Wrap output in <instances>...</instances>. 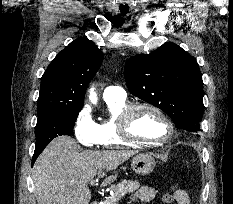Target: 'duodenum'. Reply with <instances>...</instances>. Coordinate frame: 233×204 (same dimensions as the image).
I'll list each match as a JSON object with an SVG mask.
<instances>
[{
  "mask_svg": "<svg viewBox=\"0 0 233 204\" xmlns=\"http://www.w3.org/2000/svg\"><path fill=\"white\" fill-rule=\"evenodd\" d=\"M92 204H99L98 202H93Z\"/></svg>",
  "mask_w": 233,
  "mask_h": 204,
  "instance_id": "1",
  "label": "duodenum"
}]
</instances>
